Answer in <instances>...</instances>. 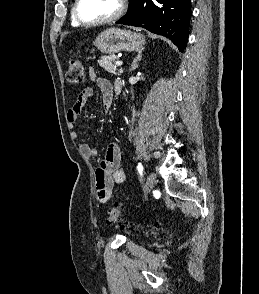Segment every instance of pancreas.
Instances as JSON below:
<instances>
[{"label": "pancreas", "mask_w": 259, "mask_h": 294, "mask_svg": "<svg viewBox=\"0 0 259 294\" xmlns=\"http://www.w3.org/2000/svg\"><path fill=\"white\" fill-rule=\"evenodd\" d=\"M118 60L116 55L103 56L98 60L99 65L106 71L112 74H121L123 70L117 72L116 65L114 64Z\"/></svg>", "instance_id": "cf45deb5"}]
</instances>
